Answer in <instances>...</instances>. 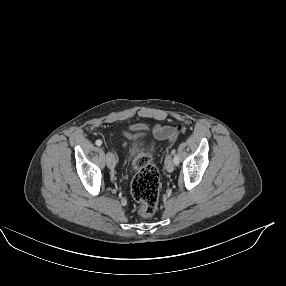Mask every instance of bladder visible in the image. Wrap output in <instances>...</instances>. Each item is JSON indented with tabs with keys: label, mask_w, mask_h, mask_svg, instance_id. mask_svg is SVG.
Returning a JSON list of instances; mask_svg holds the SVG:
<instances>
[{
	"label": "bladder",
	"mask_w": 286,
	"mask_h": 286,
	"mask_svg": "<svg viewBox=\"0 0 286 286\" xmlns=\"http://www.w3.org/2000/svg\"><path fill=\"white\" fill-rule=\"evenodd\" d=\"M149 152L150 150L146 144L143 141L136 139L128 146L126 150V161L131 168L136 169L139 161L145 158Z\"/></svg>",
	"instance_id": "1"
}]
</instances>
